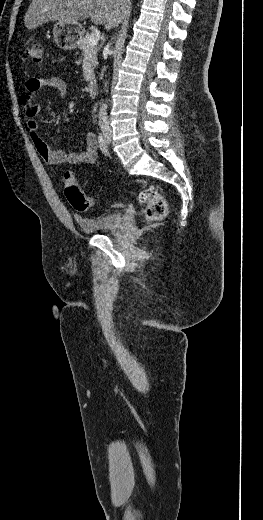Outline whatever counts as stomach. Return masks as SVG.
<instances>
[{"label": "stomach", "mask_w": 263, "mask_h": 520, "mask_svg": "<svg viewBox=\"0 0 263 520\" xmlns=\"http://www.w3.org/2000/svg\"><path fill=\"white\" fill-rule=\"evenodd\" d=\"M83 34L84 29L79 23L58 21L53 28L54 40L64 50L76 49Z\"/></svg>", "instance_id": "1"}]
</instances>
